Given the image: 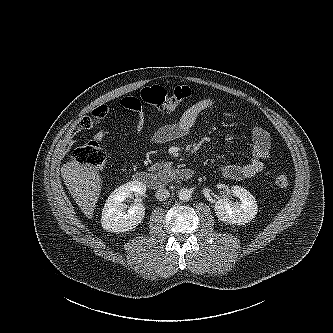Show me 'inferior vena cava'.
Returning a JSON list of instances; mask_svg holds the SVG:
<instances>
[{"label": "inferior vena cava", "instance_id": "inferior-vena-cava-1", "mask_svg": "<svg viewBox=\"0 0 333 333\" xmlns=\"http://www.w3.org/2000/svg\"><path fill=\"white\" fill-rule=\"evenodd\" d=\"M157 200L159 201H163V200H166L169 198L170 196V193L167 189L165 188H160L156 191V194H155Z\"/></svg>", "mask_w": 333, "mask_h": 333}]
</instances>
